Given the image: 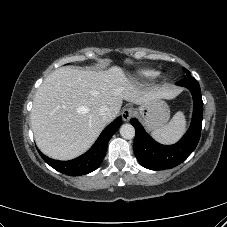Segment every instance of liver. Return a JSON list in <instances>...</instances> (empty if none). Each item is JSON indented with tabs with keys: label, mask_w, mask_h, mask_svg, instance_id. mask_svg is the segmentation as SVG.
<instances>
[{
	"label": "liver",
	"mask_w": 227,
	"mask_h": 227,
	"mask_svg": "<svg viewBox=\"0 0 227 227\" xmlns=\"http://www.w3.org/2000/svg\"><path fill=\"white\" fill-rule=\"evenodd\" d=\"M174 94L141 90L118 66L105 71L59 68L47 76L35 95L31 126L36 144L51 158L73 159L87 151L118 115L123 100L145 105ZM103 105L113 113L108 121L99 114Z\"/></svg>",
	"instance_id": "liver-1"
}]
</instances>
